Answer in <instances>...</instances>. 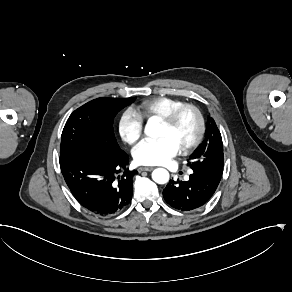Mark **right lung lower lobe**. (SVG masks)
Masks as SVG:
<instances>
[{
	"mask_svg": "<svg viewBox=\"0 0 292 292\" xmlns=\"http://www.w3.org/2000/svg\"><path fill=\"white\" fill-rule=\"evenodd\" d=\"M60 168L75 199L90 212L108 216L126 208L132 199L133 177L128 155H105L96 151H60ZM123 172L122 175H119Z\"/></svg>",
	"mask_w": 292,
	"mask_h": 292,
	"instance_id": "obj_1",
	"label": "right lung lower lobe"
}]
</instances>
